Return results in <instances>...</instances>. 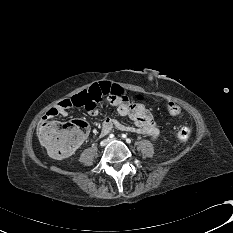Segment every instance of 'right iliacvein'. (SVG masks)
<instances>
[{"mask_svg": "<svg viewBox=\"0 0 233 233\" xmlns=\"http://www.w3.org/2000/svg\"><path fill=\"white\" fill-rule=\"evenodd\" d=\"M106 144H107V141H103V142L101 143L102 146H105Z\"/></svg>", "mask_w": 233, "mask_h": 233, "instance_id": "1", "label": "right iliac vein"}]
</instances>
